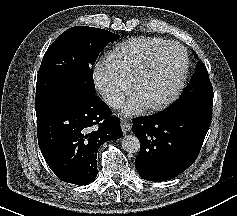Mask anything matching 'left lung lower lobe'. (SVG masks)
<instances>
[{
  "label": "left lung lower lobe",
  "mask_w": 237,
  "mask_h": 216,
  "mask_svg": "<svg viewBox=\"0 0 237 216\" xmlns=\"http://www.w3.org/2000/svg\"><path fill=\"white\" fill-rule=\"evenodd\" d=\"M210 123L184 111L134 119L132 131L141 143L135 160L139 175L156 182L178 176L197 159Z\"/></svg>",
  "instance_id": "1"
}]
</instances>
